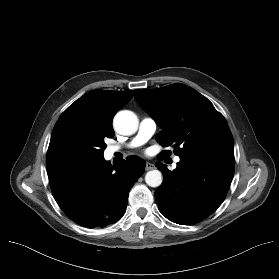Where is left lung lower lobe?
Masks as SVG:
<instances>
[{
    "instance_id": "obj_1",
    "label": "left lung lower lobe",
    "mask_w": 279,
    "mask_h": 279,
    "mask_svg": "<svg viewBox=\"0 0 279 279\" xmlns=\"http://www.w3.org/2000/svg\"><path fill=\"white\" fill-rule=\"evenodd\" d=\"M164 181L155 192L160 212L170 221L189 225L211 215L223 202L234 175L235 159L214 154L180 156L174 171L158 162Z\"/></svg>"
}]
</instances>
